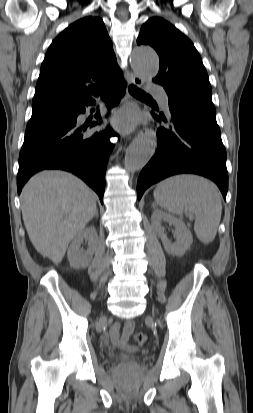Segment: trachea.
Returning a JSON list of instances; mask_svg holds the SVG:
<instances>
[{"label": "trachea", "instance_id": "trachea-1", "mask_svg": "<svg viewBox=\"0 0 253 413\" xmlns=\"http://www.w3.org/2000/svg\"><path fill=\"white\" fill-rule=\"evenodd\" d=\"M129 92L134 96L151 98L150 95L146 94L144 91H142L141 89H139L138 87H136L134 85L129 86Z\"/></svg>", "mask_w": 253, "mask_h": 413}]
</instances>
